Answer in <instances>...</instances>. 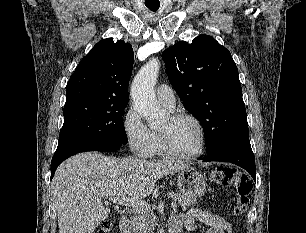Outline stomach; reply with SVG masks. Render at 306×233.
<instances>
[{
    "label": "stomach",
    "mask_w": 306,
    "mask_h": 233,
    "mask_svg": "<svg viewBox=\"0 0 306 233\" xmlns=\"http://www.w3.org/2000/svg\"><path fill=\"white\" fill-rule=\"evenodd\" d=\"M177 184L184 196L194 199L201 197L206 190L203 175L192 167H186L178 173Z\"/></svg>",
    "instance_id": "0dacf381"
}]
</instances>
